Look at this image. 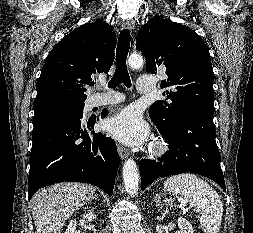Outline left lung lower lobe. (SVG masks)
Instances as JSON below:
<instances>
[{
    "label": "left lung lower lobe",
    "instance_id": "obj_1",
    "mask_svg": "<svg viewBox=\"0 0 253 233\" xmlns=\"http://www.w3.org/2000/svg\"><path fill=\"white\" fill-rule=\"evenodd\" d=\"M160 133L169 144V151L158 162L140 161L142 190L157 178L187 172L211 178L226 190L215 141L213 114L195 112L180 116L172 132Z\"/></svg>",
    "mask_w": 253,
    "mask_h": 233
}]
</instances>
